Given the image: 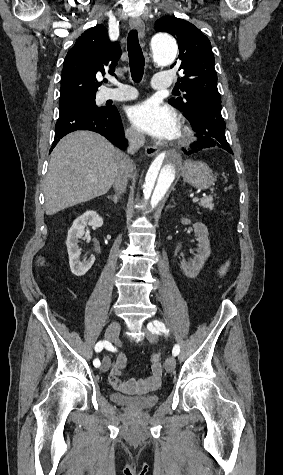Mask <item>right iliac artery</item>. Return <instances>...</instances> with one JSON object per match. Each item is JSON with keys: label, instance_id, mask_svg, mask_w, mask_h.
<instances>
[{"label": "right iliac artery", "instance_id": "obj_1", "mask_svg": "<svg viewBox=\"0 0 283 475\" xmlns=\"http://www.w3.org/2000/svg\"><path fill=\"white\" fill-rule=\"evenodd\" d=\"M107 343H108L107 341H103V342H102V341H99V342L96 344V346H95V351H96V352H100V351L103 349L104 345H106ZM100 364H101V363H100V361H99L98 359H95V360L93 361V365H94L95 367H99Z\"/></svg>", "mask_w": 283, "mask_h": 475}]
</instances>
